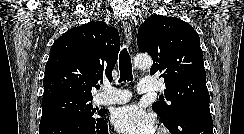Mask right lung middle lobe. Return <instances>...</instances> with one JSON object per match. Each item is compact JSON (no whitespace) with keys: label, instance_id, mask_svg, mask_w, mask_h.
Listing matches in <instances>:
<instances>
[{"label":"right lung middle lobe","instance_id":"right-lung-middle-lobe-1","mask_svg":"<svg viewBox=\"0 0 244 134\" xmlns=\"http://www.w3.org/2000/svg\"><path fill=\"white\" fill-rule=\"evenodd\" d=\"M92 99H81L70 96L42 100V117L39 130L47 124L64 119L96 120L95 114L105 115L106 110L93 108Z\"/></svg>","mask_w":244,"mask_h":134}]
</instances>
